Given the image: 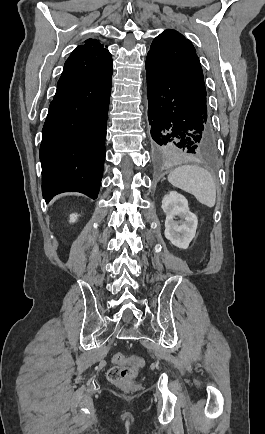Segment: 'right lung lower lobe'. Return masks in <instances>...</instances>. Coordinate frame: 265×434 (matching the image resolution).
<instances>
[{
  "label": "right lung lower lobe",
  "instance_id": "right-lung-lower-lobe-1",
  "mask_svg": "<svg viewBox=\"0 0 265 434\" xmlns=\"http://www.w3.org/2000/svg\"><path fill=\"white\" fill-rule=\"evenodd\" d=\"M111 83L112 59L105 48L80 45L65 62L40 146L46 202L67 191L97 198Z\"/></svg>",
  "mask_w": 265,
  "mask_h": 434
}]
</instances>
